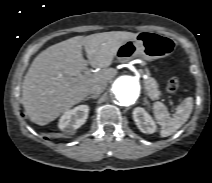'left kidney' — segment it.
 <instances>
[{"mask_svg":"<svg viewBox=\"0 0 212 183\" xmlns=\"http://www.w3.org/2000/svg\"><path fill=\"white\" fill-rule=\"evenodd\" d=\"M133 119L143 133L152 134L156 131V124L150 114L142 107L133 110Z\"/></svg>","mask_w":212,"mask_h":183,"instance_id":"1","label":"left kidney"}]
</instances>
